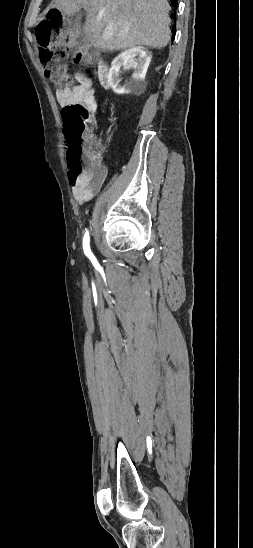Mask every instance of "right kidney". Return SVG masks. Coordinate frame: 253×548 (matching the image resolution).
<instances>
[{
  "label": "right kidney",
  "mask_w": 253,
  "mask_h": 548,
  "mask_svg": "<svg viewBox=\"0 0 253 548\" xmlns=\"http://www.w3.org/2000/svg\"><path fill=\"white\" fill-rule=\"evenodd\" d=\"M152 58L151 52L137 46L120 53L112 62L108 82L116 94L141 93L145 90V75ZM121 67H134L131 79L120 85Z\"/></svg>",
  "instance_id": "right-kidney-1"
}]
</instances>
